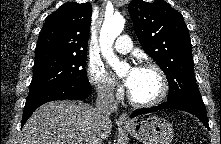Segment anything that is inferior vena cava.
<instances>
[{
	"mask_svg": "<svg viewBox=\"0 0 221 144\" xmlns=\"http://www.w3.org/2000/svg\"><path fill=\"white\" fill-rule=\"evenodd\" d=\"M118 108V103L115 99L113 90L108 86L99 87L97 90L96 99V119L99 125H104L109 121L111 113L116 112ZM102 139L100 138L96 144H102Z\"/></svg>",
	"mask_w": 221,
	"mask_h": 144,
	"instance_id": "602c4592",
	"label": "inferior vena cava"
}]
</instances>
